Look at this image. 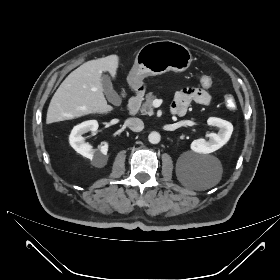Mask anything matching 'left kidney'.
<instances>
[{
  "mask_svg": "<svg viewBox=\"0 0 280 280\" xmlns=\"http://www.w3.org/2000/svg\"><path fill=\"white\" fill-rule=\"evenodd\" d=\"M207 124L211 126H216L219 128V132L209 133L206 136L209 137L208 140L205 139H197L194 140L190 147L196 153L200 154H209L218 149H220L223 145H225L233 132V125L221 118L209 117L207 120Z\"/></svg>",
  "mask_w": 280,
  "mask_h": 280,
  "instance_id": "5707ae66",
  "label": "left kidney"
}]
</instances>
